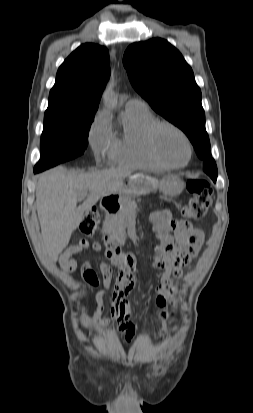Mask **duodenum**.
Listing matches in <instances>:
<instances>
[{
    "instance_id": "1",
    "label": "duodenum",
    "mask_w": 253,
    "mask_h": 413,
    "mask_svg": "<svg viewBox=\"0 0 253 413\" xmlns=\"http://www.w3.org/2000/svg\"><path fill=\"white\" fill-rule=\"evenodd\" d=\"M101 207L104 211L113 213L116 211L117 205L109 199H103L101 202ZM104 237L106 239V242L109 245L110 251L114 255H116L119 251V248H118L115 232L111 229H106L104 231Z\"/></svg>"
}]
</instances>
